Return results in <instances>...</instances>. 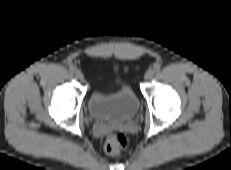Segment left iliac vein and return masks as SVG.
I'll list each match as a JSON object with an SVG mask.
<instances>
[{
	"label": "left iliac vein",
	"mask_w": 231,
	"mask_h": 170,
	"mask_svg": "<svg viewBox=\"0 0 231 170\" xmlns=\"http://www.w3.org/2000/svg\"><path fill=\"white\" fill-rule=\"evenodd\" d=\"M154 74H155L154 70L149 69V70L145 73L144 79H145L146 81H148V80H150V79L153 78Z\"/></svg>",
	"instance_id": "obj_1"
}]
</instances>
